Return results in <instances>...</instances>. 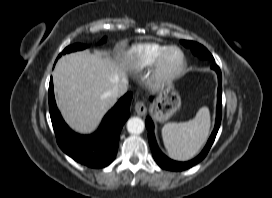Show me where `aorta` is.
Listing matches in <instances>:
<instances>
[{"label":"aorta","mask_w":272,"mask_h":198,"mask_svg":"<svg viewBox=\"0 0 272 198\" xmlns=\"http://www.w3.org/2000/svg\"><path fill=\"white\" fill-rule=\"evenodd\" d=\"M145 124L139 117L130 118L127 122V130L131 134H140L143 132Z\"/></svg>","instance_id":"obj_1"}]
</instances>
